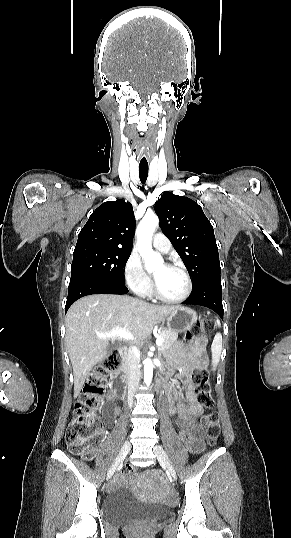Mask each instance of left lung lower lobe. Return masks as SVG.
I'll return each instance as SVG.
<instances>
[{
	"label": "left lung lower lobe",
	"instance_id": "0a47b994",
	"mask_svg": "<svg viewBox=\"0 0 291 538\" xmlns=\"http://www.w3.org/2000/svg\"><path fill=\"white\" fill-rule=\"evenodd\" d=\"M182 304L208 307L214 310L223 319L220 275L211 276L197 287H194L188 299Z\"/></svg>",
	"mask_w": 291,
	"mask_h": 538
}]
</instances>
